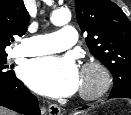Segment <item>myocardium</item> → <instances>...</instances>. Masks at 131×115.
I'll list each match as a JSON object with an SVG mask.
<instances>
[{
  "instance_id": "myocardium-1",
  "label": "myocardium",
  "mask_w": 131,
  "mask_h": 115,
  "mask_svg": "<svg viewBox=\"0 0 131 115\" xmlns=\"http://www.w3.org/2000/svg\"><path fill=\"white\" fill-rule=\"evenodd\" d=\"M94 74L95 81L91 85H82L79 95L84 100H95L104 95L111 86L112 77L109 69L100 61L90 60L82 66V77Z\"/></svg>"
}]
</instances>
